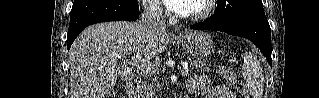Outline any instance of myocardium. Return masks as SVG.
Returning a JSON list of instances; mask_svg holds the SVG:
<instances>
[{
	"mask_svg": "<svg viewBox=\"0 0 319 98\" xmlns=\"http://www.w3.org/2000/svg\"><path fill=\"white\" fill-rule=\"evenodd\" d=\"M201 2V7L198 11L193 13H187L183 15L184 19L191 21H200L208 17L213 8V0H199Z\"/></svg>",
	"mask_w": 319,
	"mask_h": 98,
	"instance_id": "obj_1",
	"label": "myocardium"
}]
</instances>
